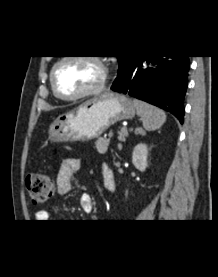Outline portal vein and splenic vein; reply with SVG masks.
<instances>
[{"instance_id":"18ae733b","label":"portal vein and splenic vein","mask_w":218,"mask_h":277,"mask_svg":"<svg viewBox=\"0 0 218 277\" xmlns=\"http://www.w3.org/2000/svg\"><path fill=\"white\" fill-rule=\"evenodd\" d=\"M124 132H125V134H127V130H125ZM113 135H114L113 132H109V133H108V138H112Z\"/></svg>"}]
</instances>
